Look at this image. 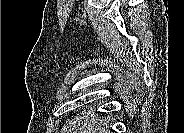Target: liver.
<instances>
[{
    "mask_svg": "<svg viewBox=\"0 0 184 133\" xmlns=\"http://www.w3.org/2000/svg\"><path fill=\"white\" fill-rule=\"evenodd\" d=\"M69 125L64 126L63 131L71 133H106V129L102 127V123L97 116L83 115L75 120L69 121Z\"/></svg>",
    "mask_w": 184,
    "mask_h": 133,
    "instance_id": "liver-1",
    "label": "liver"
}]
</instances>
